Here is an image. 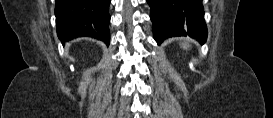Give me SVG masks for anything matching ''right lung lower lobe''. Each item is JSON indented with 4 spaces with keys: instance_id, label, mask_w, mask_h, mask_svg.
Listing matches in <instances>:
<instances>
[{
    "instance_id": "1",
    "label": "right lung lower lobe",
    "mask_w": 273,
    "mask_h": 118,
    "mask_svg": "<svg viewBox=\"0 0 273 118\" xmlns=\"http://www.w3.org/2000/svg\"><path fill=\"white\" fill-rule=\"evenodd\" d=\"M110 2L111 0H56L58 37L63 41L76 37H94L108 46Z\"/></svg>"
}]
</instances>
